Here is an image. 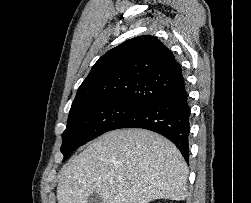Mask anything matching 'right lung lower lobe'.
Segmentation results:
<instances>
[{
	"mask_svg": "<svg viewBox=\"0 0 251 203\" xmlns=\"http://www.w3.org/2000/svg\"><path fill=\"white\" fill-rule=\"evenodd\" d=\"M142 128L172 141L184 159H189L190 107L185 83L120 121L112 130Z\"/></svg>",
	"mask_w": 251,
	"mask_h": 203,
	"instance_id": "obj_1",
	"label": "right lung lower lobe"
}]
</instances>
